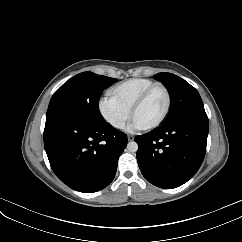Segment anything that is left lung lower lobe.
<instances>
[{"label": "left lung lower lobe", "mask_w": 242, "mask_h": 242, "mask_svg": "<svg viewBox=\"0 0 242 242\" xmlns=\"http://www.w3.org/2000/svg\"><path fill=\"white\" fill-rule=\"evenodd\" d=\"M205 111L185 114L154 131L135 137L137 161L147 181L172 189L187 182L200 168L207 145Z\"/></svg>", "instance_id": "0a47b994"}]
</instances>
